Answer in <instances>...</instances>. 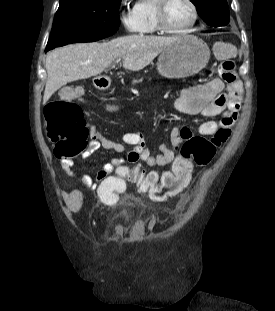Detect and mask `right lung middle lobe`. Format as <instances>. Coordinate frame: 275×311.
<instances>
[{
	"label": "right lung middle lobe",
	"instance_id": "1",
	"mask_svg": "<svg viewBox=\"0 0 275 311\" xmlns=\"http://www.w3.org/2000/svg\"><path fill=\"white\" fill-rule=\"evenodd\" d=\"M120 3L121 0H60L45 51L113 35L120 25Z\"/></svg>",
	"mask_w": 275,
	"mask_h": 311
}]
</instances>
